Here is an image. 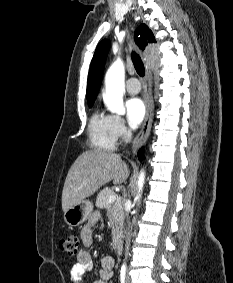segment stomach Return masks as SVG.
<instances>
[{"label": "stomach", "instance_id": "0dacf381", "mask_svg": "<svg viewBox=\"0 0 233 283\" xmlns=\"http://www.w3.org/2000/svg\"><path fill=\"white\" fill-rule=\"evenodd\" d=\"M92 211L93 204L88 200H83L64 212V220L69 226L76 227L85 222Z\"/></svg>", "mask_w": 233, "mask_h": 283}]
</instances>
